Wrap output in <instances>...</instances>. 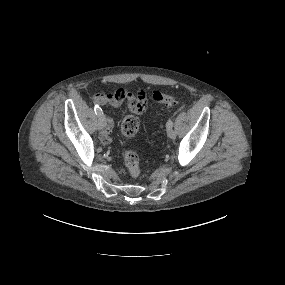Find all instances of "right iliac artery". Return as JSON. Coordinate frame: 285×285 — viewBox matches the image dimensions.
<instances>
[{
	"mask_svg": "<svg viewBox=\"0 0 285 285\" xmlns=\"http://www.w3.org/2000/svg\"><path fill=\"white\" fill-rule=\"evenodd\" d=\"M94 111H95V114L98 116L103 114L102 109L97 104H95Z\"/></svg>",
	"mask_w": 285,
	"mask_h": 285,
	"instance_id": "82829eb1",
	"label": "right iliac artery"
}]
</instances>
